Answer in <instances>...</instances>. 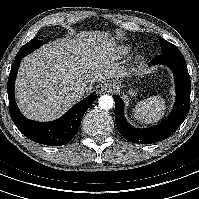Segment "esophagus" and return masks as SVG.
<instances>
[{
  "mask_svg": "<svg viewBox=\"0 0 199 199\" xmlns=\"http://www.w3.org/2000/svg\"><path fill=\"white\" fill-rule=\"evenodd\" d=\"M115 89V84L112 82H105L101 86V91L102 92H112Z\"/></svg>",
  "mask_w": 199,
  "mask_h": 199,
  "instance_id": "34e87169",
  "label": "esophagus"
}]
</instances>
